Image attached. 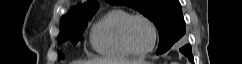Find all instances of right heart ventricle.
Masks as SVG:
<instances>
[{
	"label": "right heart ventricle",
	"instance_id": "1",
	"mask_svg": "<svg viewBox=\"0 0 242 64\" xmlns=\"http://www.w3.org/2000/svg\"><path fill=\"white\" fill-rule=\"evenodd\" d=\"M131 14L123 9L106 13L92 28L90 42L99 54L111 58H127L132 54L122 42L121 30Z\"/></svg>",
	"mask_w": 242,
	"mask_h": 64
}]
</instances>
